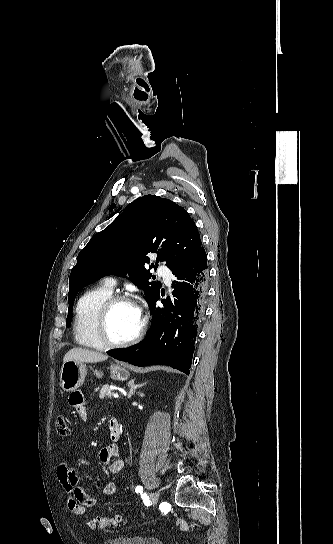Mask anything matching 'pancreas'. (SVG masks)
I'll return each instance as SVG.
<instances>
[{
	"mask_svg": "<svg viewBox=\"0 0 333 544\" xmlns=\"http://www.w3.org/2000/svg\"><path fill=\"white\" fill-rule=\"evenodd\" d=\"M98 390L99 388L95 389V391H98ZM113 394H114L113 389H111L108 385L102 386L99 391V397L101 399H104V398L110 399Z\"/></svg>",
	"mask_w": 333,
	"mask_h": 544,
	"instance_id": "obj_1",
	"label": "pancreas"
}]
</instances>
